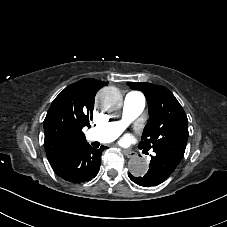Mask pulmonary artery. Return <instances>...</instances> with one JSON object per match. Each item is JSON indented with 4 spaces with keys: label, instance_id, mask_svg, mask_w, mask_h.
Instances as JSON below:
<instances>
[{
    "label": "pulmonary artery",
    "instance_id": "1",
    "mask_svg": "<svg viewBox=\"0 0 227 227\" xmlns=\"http://www.w3.org/2000/svg\"><path fill=\"white\" fill-rule=\"evenodd\" d=\"M146 99L137 89L130 90L124 98L122 121L107 122L86 131L85 141L106 143L114 140L123 130L128 121L134 119L144 108Z\"/></svg>",
    "mask_w": 227,
    "mask_h": 227
}]
</instances>
